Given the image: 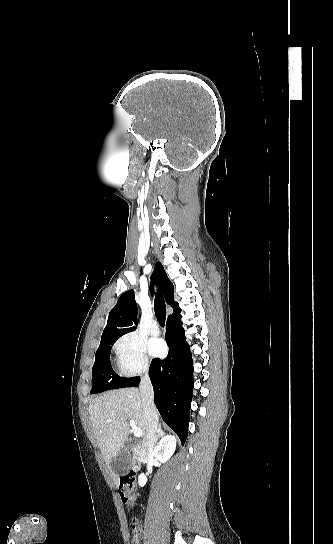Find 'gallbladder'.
Segmentation results:
<instances>
[{
  "instance_id": "1",
  "label": "gallbladder",
  "mask_w": 333,
  "mask_h": 544,
  "mask_svg": "<svg viewBox=\"0 0 333 544\" xmlns=\"http://www.w3.org/2000/svg\"><path fill=\"white\" fill-rule=\"evenodd\" d=\"M133 447L134 443L127 441L124 448L112 459L111 467L115 473L125 475L128 472L132 465L130 451Z\"/></svg>"
}]
</instances>
